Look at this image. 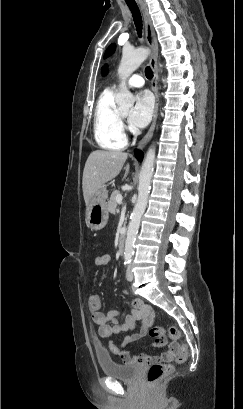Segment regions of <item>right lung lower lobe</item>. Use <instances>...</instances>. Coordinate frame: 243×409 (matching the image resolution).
<instances>
[{
    "mask_svg": "<svg viewBox=\"0 0 243 409\" xmlns=\"http://www.w3.org/2000/svg\"><path fill=\"white\" fill-rule=\"evenodd\" d=\"M136 158L139 160V161H142V159H143V153L142 152H139V151H136Z\"/></svg>",
    "mask_w": 243,
    "mask_h": 409,
    "instance_id": "obj_1",
    "label": "right lung lower lobe"
}]
</instances>
